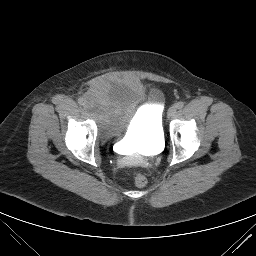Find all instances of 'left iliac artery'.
Listing matches in <instances>:
<instances>
[{
	"label": "left iliac artery",
	"mask_w": 256,
	"mask_h": 256,
	"mask_svg": "<svg viewBox=\"0 0 256 256\" xmlns=\"http://www.w3.org/2000/svg\"><path fill=\"white\" fill-rule=\"evenodd\" d=\"M183 106H184V103H183L182 101H180V102H178V103L176 104V107H177L178 109L183 108Z\"/></svg>",
	"instance_id": "left-iliac-artery-1"
}]
</instances>
